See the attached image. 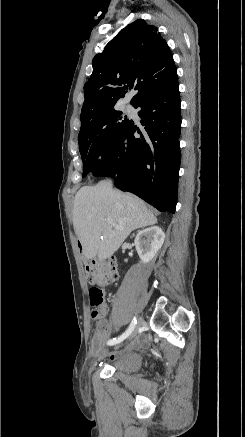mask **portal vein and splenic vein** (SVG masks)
Masks as SVG:
<instances>
[{
  "label": "portal vein and splenic vein",
  "mask_w": 245,
  "mask_h": 437,
  "mask_svg": "<svg viewBox=\"0 0 245 437\" xmlns=\"http://www.w3.org/2000/svg\"><path fill=\"white\" fill-rule=\"evenodd\" d=\"M106 222L108 224H111V225L115 226V224L113 223V221L110 218H106Z\"/></svg>",
  "instance_id": "1"
}]
</instances>
